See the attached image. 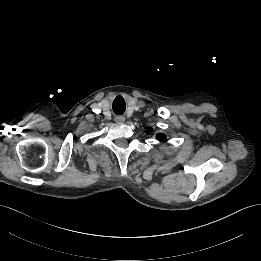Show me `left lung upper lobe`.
<instances>
[{"mask_svg": "<svg viewBox=\"0 0 261 261\" xmlns=\"http://www.w3.org/2000/svg\"><path fill=\"white\" fill-rule=\"evenodd\" d=\"M150 132H152V128L147 127V128H146V133L149 134ZM157 138H158L160 141H164V140L166 139V136L163 135V134H158V135H157Z\"/></svg>", "mask_w": 261, "mask_h": 261, "instance_id": "obj_1", "label": "left lung upper lobe"}]
</instances>
